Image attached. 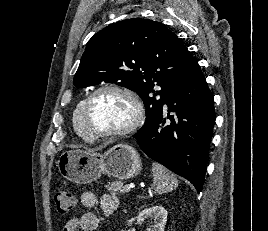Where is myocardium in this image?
Returning <instances> with one entry per match:
<instances>
[{
    "label": "myocardium",
    "instance_id": "1",
    "mask_svg": "<svg viewBox=\"0 0 268 231\" xmlns=\"http://www.w3.org/2000/svg\"><path fill=\"white\" fill-rule=\"evenodd\" d=\"M102 92H113L120 94L131 102L134 110V116L127 125L120 129L106 131H95L91 128L89 123L90 105L93 99ZM82 118L85 129L89 134L90 138H120L133 133L141 127L145 119V110L142 101L140 100L138 95L132 90L117 85H105L92 91L85 99L82 107Z\"/></svg>",
    "mask_w": 268,
    "mask_h": 231
}]
</instances>
